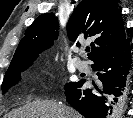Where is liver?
I'll list each match as a JSON object with an SVG mask.
<instances>
[{"mask_svg": "<svg viewBox=\"0 0 133 118\" xmlns=\"http://www.w3.org/2000/svg\"><path fill=\"white\" fill-rule=\"evenodd\" d=\"M5 118H82V116L60 102L37 100L11 111Z\"/></svg>", "mask_w": 133, "mask_h": 118, "instance_id": "1", "label": "liver"}]
</instances>
